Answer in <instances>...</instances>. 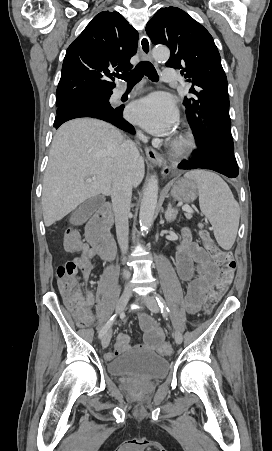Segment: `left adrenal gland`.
Returning a JSON list of instances; mask_svg holds the SVG:
<instances>
[{
  "label": "left adrenal gland",
  "instance_id": "1",
  "mask_svg": "<svg viewBox=\"0 0 272 451\" xmlns=\"http://www.w3.org/2000/svg\"><path fill=\"white\" fill-rule=\"evenodd\" d=\"M177 214H178V210H174V208H172L171 204H168V208L165 212V218H166L167 222H174V220H176Z\"/></svg>",
  "mask_w": 272,
  "mask_h": 451
}]
</instances>
